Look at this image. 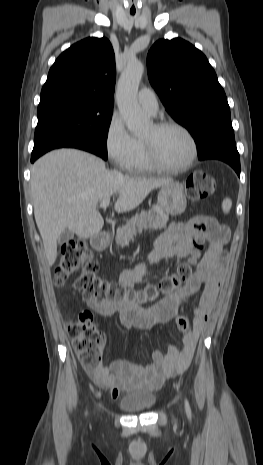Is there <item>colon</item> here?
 Here are the masks:
<instances>
[{
	"label": "colon",
	"instance_id": "obj_1",
	"mask_svg": "<svg viewBox=\"0 0 263 465\" xmlns=\"http://www.w3.org/2000/svg\"><path fill=\"white\" fill-rule=\"evenodd\" d=\"M217 186L218 181L215 176L199 172L188 177L186 193L191 200H200L213 194ZM199 220L205 228L217 226L211 219L202 217ZM197 244L199 248L203 247L204 239H198ZM196 258L197 254L192 262L181 264L175 273L163 278L159 287L148 286L136 292L121 284L99 278L96 275L98 263L86 242L82 239H74L62 246L61 258L54 271V279L57 286H62L72 274L80 272L75 288L82 292L84 298L113 305L124 303L139 305L155 300L159 293L170 294L185 285L193 276V261ZM175 322L179 331L183 333L190 331L191 324L187 317L179 316ZM68 333L82 367L88 372L99 370L102 367L105 336L96 326L93 314L90 311L81 312L78 319L69 324Z\"/></svg>",
	"mask_w": 263,
	"mask_h": 465
}]
</instances>
